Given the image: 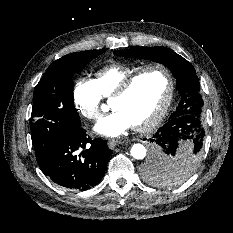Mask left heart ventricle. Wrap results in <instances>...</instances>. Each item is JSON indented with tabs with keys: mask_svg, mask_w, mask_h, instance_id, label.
I'll return each mask as SVG.
<instances>
[{
	"mask_svg": "<svg viewBox=\"0 0 233 233\" xmlns=\"http://www.w3.org/2000/svg\"><path fill=\"white\" fill-rule=\"evenodd\" d=\"M168 81L165 73L153 69L141 75L128 93L111 101L114 110L122 111L133 126L150 120L159 110L166 97Z\"/></svg>",
	"mask_w": 233,
	"mask_h": 233,
	"instance_id": "b2bd125f",
	"label": "left heart ventricle"
}]
</instances>
